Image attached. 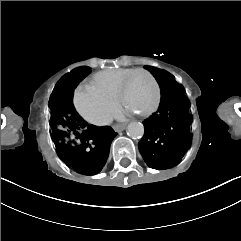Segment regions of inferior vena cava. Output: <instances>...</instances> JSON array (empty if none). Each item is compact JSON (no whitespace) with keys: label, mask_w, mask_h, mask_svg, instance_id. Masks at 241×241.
Wrapping results in <instances>:
<instances>
[{"label":"inferior vena cava","mask_w":241,"mask_h":241,"mask_svg":"<svg viewBox=\"0 0 241 241\" xmlns=\"http://www.w3.org/2000/svg\"><path fill=\"white\" fill-rule=\"evenodd\" d=\"M113 122L112 117L104 119L102 122H95V125L97 126H105L110 125Z\"/></svg>","instance_id":"obj_1"}]
</instances>
